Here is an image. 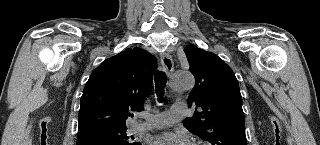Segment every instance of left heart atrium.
I'll return each instance as SVG.
<instances>
[{
    "instance_id": "39dd6f15",
    "label": "left heart atrium",
    "mask_w": 320,
    "mask_h": 145,
    "mask_svg": "<svg viewBox=\"0 0 320 145\" xmlns=\"http://www.w3.org/2000/svg\"><path fill=\"white\" fill-rule=\"evenodd\" d=\"M154 145H189L187 136L183 133H164L152 140Z\"/></svg>"
}]
</instances>
